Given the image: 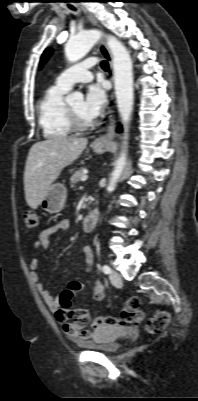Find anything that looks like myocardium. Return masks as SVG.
Wrapping results in <instances>:
<instances>
[{
	"label": "myocardium",
	"mask_w": 198,
	"mask_h": 401,
	"mask_svg": "<svg viewBox=\"0 0 198 401\" xmlns=\"http://www.w3.org/2000/svg\"><path fill=\"white\" fill-rule=\"evenodd\" d=\"M66 115L71 129L74 131H87L96 125V122L93 120L89 122L82 121L75 111L68 105L66 106Z\"/></svg>",
	"instance_id": "myocardium-1"
}]
</instances>
